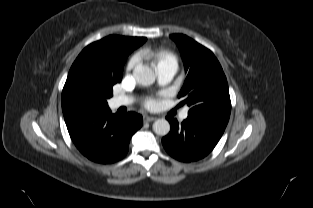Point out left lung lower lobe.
<instances>
[{
  "mask_svg": "<svg viewBox=\"0 0 313 208\" xmlns=\"http://www.w3.org/2000/svg\"><path fill=\"white\" fill-rule=\"evenodd\" d=\"M170 133L162 138L165 150L175 159L191 162L207 156L220 140L226 122L188 115L181 125L176 119L166 117Z\"/></svg>",
  "mask_w": 313,
  "mask_h": 208,
  "instance_id": "left-lung-lower-lobe-1",
  "label": "left lung lower lobe"
}]
</instances>
